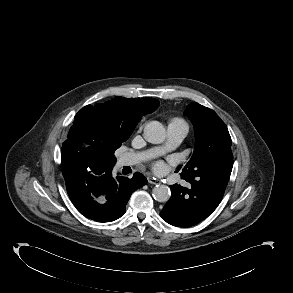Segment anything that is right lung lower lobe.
I'll return each mask as SVG.
<instances>
[{"mask_svg":"<svg viewBox=\"0 0 293 293\" xmlns=\"http://www.w3.org/2000/svg\"><path fill=\"white\" fill-rule=\"evenodd\" d=\"M114 164L95 159L65 178L68 195L85 217L97 222H111L125 213L131 194L147 179L140 173L127 177L112 174Z\"/></svg>","mask_w":293,"mask_h":293,"instance_id":"1","label":"right lung lower lobe"}]
</instances>
